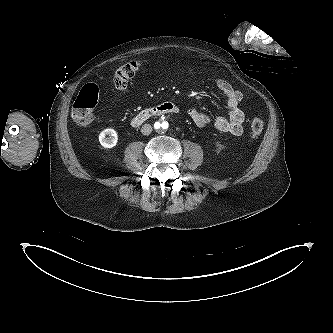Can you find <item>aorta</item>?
Returning <instances> with one entry per match:
<instances>
[{"instance_id":"762f6f07","label":"aorta","mask_w":333,"mask_h":333,"mask_svg":"<svg viewBox=\"0 0 333 333\" xmlns=\"http://www.w3.org/2000/svg\"><path fill=\"white\" fill-rule=\"evenodd\" d=\"M168 122L165 120L158 121L154 124L155 130L158 133H164L168 129Z\"/></svg>"}]
</instances>
